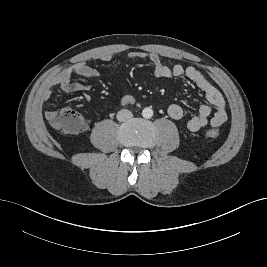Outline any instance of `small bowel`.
<instances>
[{
	"label": "small bowel",
	"mask_w": 267,
	"mask_h": 267,
	"mask_svg": "<svg viewBox=\"0 0 267 267\" xmlns=\"http://www.w3.org/2000/svg\"><path fill=\"white\" fill-rule=\"evenodd\" d=\"M128 59H144L148 60L154 67V75L157 78H180L186 77L193 82L204 94L207 102L201 104L198 113L191 116L187 120V128L191 131H198L208 124L212 127H219L227 120L226 102L221 92L213 86L204 75L195 67H184L180 64H176L172 67L162 62L161 58L154 53H147L144 51L130 52L127 55ZM99 58L103 61H111L113 59L112 54H102ZM98 71L88 65L85 62H78L72 66L64 69L52 80V85L58 87L62 92L71 93L86 91L89 89V85L84 83H73V76H80L85 78L98 76ZM51 98V91L46 90L43 93V99L49 100ZM135 99L130 94H125L120 99L121 105L133 104ZM214 112L212 113V111ZM54 110H48L45 112V117L50 120ZM168 115L174 119L179 120L184 116L183 108L178 104H170L167 106Z\"/></svg>",
	"instance_id": "1"
}]
</instances>
